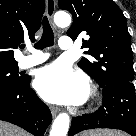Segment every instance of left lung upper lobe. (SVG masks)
<instances>
[{
  "mask_svg": "<svg viewBox=\"0 0 136 136\" xmlns=\"http://www.w3.org/2000/svg\"><path fill=\"white\" fill-rule=\"evenodd\" d=\"M60 9L68 10L73 24L67 35L75 40L80 33L90 38L82 48L91 59L78 63L104 87L114 82H133V52L126 18L112 0H59Z\"/></svg>",
  "mask_w": 136,
  "mask_h": 136,
  "instance_id": "left-lung-upper-lobe-1",
  "label": "left lung upper lobe"
}]
</instances>
